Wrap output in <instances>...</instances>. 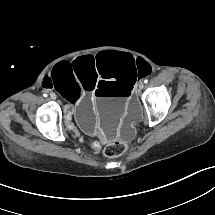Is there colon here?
<instances>
[{"label":"colon","instance_id":"1","mask_svg":"<svg viewBox=\"0 0 215 215\" xmlns=\"http://www.w3.org/2000/svg\"><path fill=\"white\" fill-rule=\"evenodd\" d=\"M125 148V144L121 142L111 143L105 147L104 154L109 158L116 157L121 155L125 151Z\"/></svg>","mask_w":215,"mask_h":215}]
</instances>
